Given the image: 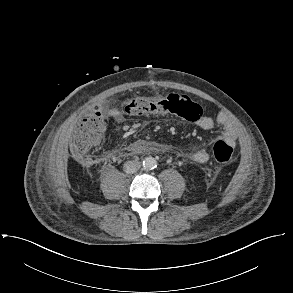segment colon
<instances>
[{
    "instance_id": "1",
    "label": "colon",
    "mask_w": 293,
    "mask_h": 293,
    "mask_svg": "<svg viewBox=\"0 0 293 293\" xmlns=\"http://www.w3.org/2000/svg\"><path fill=\"white\" fill-rule=\"evenodd\" d=\"M123 114L132 117L171 114L197 121L202 116V109L184 94H170L160 99L132 98L124 105ZM105 125L106 118L102 112L85 117L76 129L72 152L78 157H83L101 141ZM213 153L218 162L228 164L233 159L234 150L227 142L218 140L213 145Z\"/></svg>"
}]
</instances>
